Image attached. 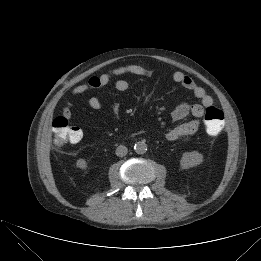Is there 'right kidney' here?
<instances>
[{"mask_svg":"<svg viewBox=\"0 0 261 261\" xmlns=\"http://www.w3.org/2000/svg\"><path fill=\"white\" fill-rule=\"evenodd\" d=\"M76 166L82 170L86 169L87 168V163L85 161V159L83 158H79L77 161H76Z\"/></svg>","mask_w":261,"mask_h":261,"instance_id":"1","label":"right kidney"}]
</instances>
